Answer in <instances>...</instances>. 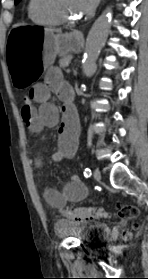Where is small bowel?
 <instances>
[{
  "label": "small bowel",
  "mask_w": 148,
  "mask_h": 279,
  "mask_svg": "<svg viewBox=\"0 0 148 279\" xmlns=\"http://www.w3.org/2000/svg\"><path fill=\"white\" fill-rule=\"evenodd\" d=\"M29 93L32 103L30 106L24 104L21 109L27 127L34 133H40L45 128L59 125L58 148L52 158L54 161L70 160L77 147L78 119L71 104V89L64 82L60 70L50 69L44 82L36 84ZM52 93L63 102L61 108L49 101ZM34 102L39 104L38 108L33 105ZM35 165L39 166L40 162L36 161ZM87 195V187L77 176H72L61 191L47 189L44 192L46 201L53 208L83 200Z\"/></svg>",
  "instance_id": "obj_1"
}]
</instances>
